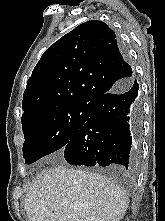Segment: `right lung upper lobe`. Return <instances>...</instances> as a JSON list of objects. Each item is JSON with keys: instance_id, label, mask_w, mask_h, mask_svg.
I'll use <instances>...</instances> for the list:
<instances>
[{"instance_id": "cb5924a9", "label": "right lung upper lobe", "mask_w": 165, "mask_h": 221, "mask_svg": "<svg viewBox=\"0 0 165 221\" xmlns=\"http://www.w3.org/2000/svg\"><path fill=\"white\" fill-rule=\"evenodd\" d=\"M133 78L114 31L104 22L87 21L42 55L24 91L22 121L60 106L91 104Z\"/></svg>"}]
</instances>
